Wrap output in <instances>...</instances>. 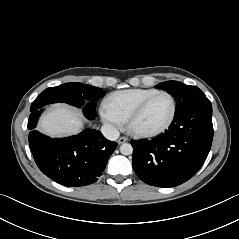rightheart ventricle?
<instances>
[{
	"label": "right heart ventricle",
	"mask_w": 239,
	"mask_h": 239,
	"mask_svg": "<svg viewBox=\"0 0 239 239\" xmlns=\"http://www.w3.org/2000/svg\"><path fill=\"white\" fill-rule=\"evenodd\" d=\"M158 91L153 88H133L119 90L110 93L104 102V106L126 121L132 110L147 96Z\"/></svg>",
	"instance_id": "e07e8e85"
}]
</instances>
